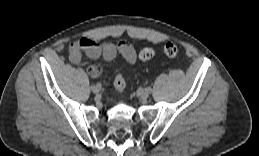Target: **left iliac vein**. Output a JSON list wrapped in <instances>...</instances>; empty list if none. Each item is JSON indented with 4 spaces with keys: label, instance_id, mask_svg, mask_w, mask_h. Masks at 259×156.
<instances>
[{
    "label": "left iliac vein",
    "instance_id": "obj_1",
    "mask_svg": "<svg viewBox=\"0 0 259 156\" xmlns=\"http://www.w3.org/2000/svg\"><path fill=\"white\" fill-rule=\"evenodd\" d=\"M141 96L143 99H147L150 96L147 88L142 91Z\"/></svg>",
    "mask_w": 259,
    "mask_h": 156
}]
</instances>
